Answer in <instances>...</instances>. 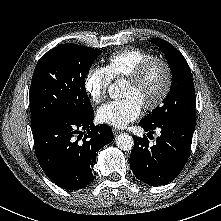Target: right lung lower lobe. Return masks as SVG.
I'll list each match as a JSON object with an SVG mask.
<instances>
[{"instance_id": "1", "label": "right lung lower lobe", "mask_w": 221, "mask_h": 221, "mask_svg": "<svg viewBox=\"0 0 221 221\" xmlns=\"http://www.w3.org/2000/svg\"><path fill=\"white\" fill-rule=\"evenodd\" d=\"M93 112L77 118L54 116L32 127L39 164L59 187L77 190L89 185L96 174V152L113 140L108 125L94 126Z\"/></svg>"}]
</instances>
